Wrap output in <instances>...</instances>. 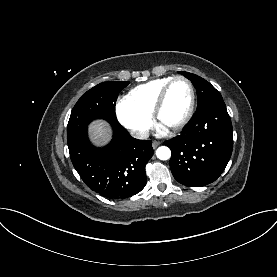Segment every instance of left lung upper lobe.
I'll list each match as a JSON object with an SVG mask.
<instances>
[{
	"label": "left lung upper lobe",
	"mask_w": 277,
	"mask_h": 277,
	"mask_svg": "<svg viewBox=\"0 0 277 277\" xmlns=\"http://www.w3.org/2000/svg\"><path fill=\"white\" fill-rule=\"evenodd\" d=\"M180 74L191 80L197 91L198 106L197 109L202 108L210 101L221 98V94L205 79L185 71H179Z\"/></svg>",
	"instance_id": "obj_1"
}]
</instances>
